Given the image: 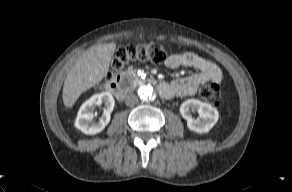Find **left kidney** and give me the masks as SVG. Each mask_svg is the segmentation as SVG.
<instances>
[{
  "label": "left kidney",
  "instance_id": "1",
  "mask_svg": "<svg viewBox=\"0 0 292 192\" xmlns=\"http://www.w3.org/2000/svg\"><path fill=\"white\" fill-rule=\"evenodd\" d=\"M190 111H197L199 118L194 119ZM180 113L186 119L189 130L199 134L208 133L219 118V113L215 107L197 99L184 101L180 106Z\"/></svg>",
  "mask_w": 292,
  "mask_h": 192
}]
</instances>
